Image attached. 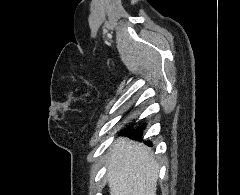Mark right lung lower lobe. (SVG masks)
<instances>
[{"label": "right lung lower lobe", "instance_id": "1", "mask_svg": "<svg viewBox=\"0 0 240 195\" xmlns=\"http://www.w3.org/2000/svg\"><path fill=\"white\" fill-rule=\"evenodd\" d=\"M145 126L146 124H143L141 127L137 128L136 130H126L124 134H128L130 136H133L134 138L141 139L142 130Z\"/></svg>", "mask_w": 240, "mask_h": 195}]
</instances>
